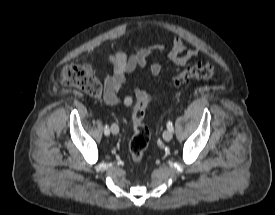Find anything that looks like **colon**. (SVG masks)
Instances as JSON below:
<instances>
[{
    "mask_svg": "<svg viewBox=\"0 0 275 215\" xmlns=\"http://www.w3.org/2000/svg\"><path fill=\"white\" fill-rule=\"evenodd\" d=\"M218 70L210 63H197L181 70L173 79L174 86H180L190 80H206L216 76ZM63 82L65 85L76 87L91 97L101 94L102 86L93 74L88 64H70L63 71ZM152 98L140 100L133 112L134 135L130 141L129 152L131 161L138 164L142 161L144 152L150 140V132L143 123L145 111Z\"/></svg>",
    "mask_w": 275,
    "mask_h": 215,
    "instance_id": "1",
    "label": "colon"
}]
</instances>
